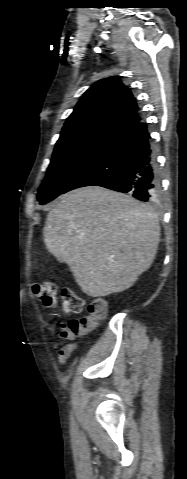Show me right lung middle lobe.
<instances>
[{
    "label": "right lung middle lobe",
    "instance_id": "1",
    "mask_svg": "<svg viewBox=\"0 0 187 479\" xmlns=\"http://www.w3.org/2000/svg\"><path fill=\"white\" fill-rule=\"evenodd\" d=\"M125 132L104 125L76 128L60 135L37 199L46 204L56 198L85 167L103 154Z\"/></svg>",
    "mask_w": 187,
    "mask_h": 479
}]
</instances>
